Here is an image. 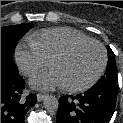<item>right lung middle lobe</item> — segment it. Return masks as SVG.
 <instances>
[{"mask_svg":"<svg viewBox=\"0 0 123 123\" xmlns=\"http://www.w3.org/2000/svg\"><path fill=\"white\" fill-rule=\"evenodd\" d=\"M31 27L29 23L1 27V65L18 71L13 61L14 49L17 41L22 38Z\"/></svg>","mask_w":123,"mask_h":123,"instance_id":"1","label":"right lung middle lobe"}]
</instances>
